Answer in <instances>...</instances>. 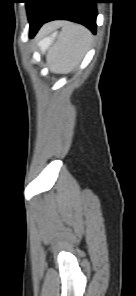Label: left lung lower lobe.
Wrapping results in <instances>:
<instances>
[{"label": "left lung lower lobe", "mask_w": 136, "mask_h": 296, "mask_svg": "<svg viewBox=\"0 0 136 296\" xmlns=\"http://www.w3.org/2000/svg\"><path fill=\"white\" fill-rule=\"evenodd\" d=\"M100 0H53L45 16L30 26L29 37L33 38L42 24L52 20H70L86 26L96 33V3Z\"/></svg>", "instance_id": "1"}]
</instances>
